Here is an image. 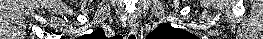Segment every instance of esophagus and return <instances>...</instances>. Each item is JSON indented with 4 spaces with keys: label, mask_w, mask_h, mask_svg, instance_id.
I'll use <instances>...</instances> for the list:
<instances>
[{
    "label": "esophagus",
    "mask_w": 263,
    "mask_h": 39,
    "mask_svg": "<svg viewBox=\"0 0 263 39\" xmlns=\"http://www.w3.org/2000/svg\"><path fill=\"white\" fill-rule=\"evenodd\" d=\"M128 22H129V26H130L131 30L137 34L138 30H139L138 20L134 17H131V18H129Z\"/></svg>",
    "instance_id": "1"
}]
</instances>
